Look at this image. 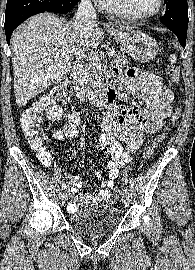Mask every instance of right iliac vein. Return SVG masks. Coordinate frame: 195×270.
<instances>
[{
  "instance_id": "1",
  "label": "right iliac vein",
  "mask_w": 195,
  "mask_h": 270,
  "mask_svg": "<svg viewBox=\"0 0 195 270\" xmlns=\"http://www.w3.org/2000/svg\"><path fill=\"white\" fill-rule=\"evenodd\" d=\"M66 200H67V194H66L65 192H63V193L61 194V203H65Z\"/></svg>"
}]
</instances>
